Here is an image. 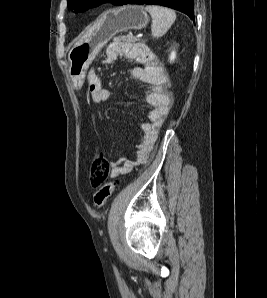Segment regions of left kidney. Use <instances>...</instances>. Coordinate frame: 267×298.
I'll return each instance as SVG.
<instances>
[{"instance_id":"left-kidney-1","label":"left kidney","mask_w":267,"mask_h":298,"mask_svg":"<svg viewBox=\"0 0 267 298\" xmlns=\"http://www.w3.org/2000/svg\"><path fill=\"white\" fill-rule=\"evenodd\" d=\"M175 58H176V52L172 51L170 54V61H174Z\"/></svg>"}]
</instances>
